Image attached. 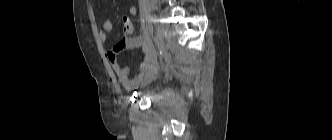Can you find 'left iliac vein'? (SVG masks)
<instances>
[{
    "label": "left iliac vein",
    "instance_id": "4c4485c4",
    "mask_svg": "<svg viewBox=\"0 0 332 140\" xmlns=\"http://www.w3.org/2000/svg\"><path fill=\"white\" fill-rule=\"evenodd\" d=\"M155 43H156V46L158 47V49H163L164 48V40H163V35L161 32H157L156 35H155Z\"/></svg>",
    "mask_w": 332,
    "mask_h": 140
}]
</instances>
